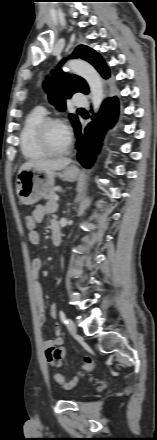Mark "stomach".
<instances>
[{
	"mask_svg": "<svg viewBox=\"0 0 157 440\" xmlns=\"http://www.w3.org/2000/svg\"><path fill=\"white\" fill-rule=\"evenodd\" d=\"M78 175L79 171L72 166L64 168L61 172L26 169L17 175L16 193L22 204L33 205L53 189L55 177L72 182Z\"/></svg>",
	"mask_w": 157,
	"mask_h": 440,
	"instance_id": "1",
	"label": "stomach"
}]
</instances>
